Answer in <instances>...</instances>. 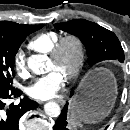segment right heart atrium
<instances>
[{
	"instance_id": "obj_1",
	"label": "right heart atrium",
	"mask_w": 130,
	"mask_h": 130,
	"mask_svg": "<svg viewBox=\"0 0 130 130\" xmlns=\"http://www.w3.org/2000/svg\"><path fill=\"white\" fill-rule=\"evenodd\" d=\"M13 64L15 70L20 76L25 77L28 75V70L26 66V57L23 50L19 49L16 51L13 58Z\"/></svg>"
}]
</instances>
